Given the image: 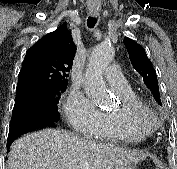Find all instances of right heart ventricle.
<instances>
[{"instance_id":"1","label":"right heart ventricle","mask_w":177,"mask_h":169,"mask_svg":"<svg viewBox=\"0 0 177 169\" xmlns=\"http://www.w3.org/2000/svg\"><path fill=\"white\" fill-rule=\"evenodd\" d=\"M115 93L122 102H134L139 100L136 93L130 87L124 91H115ZM149 135L150 133H142L137 130H129L122 118L117 113H115V111H106L101 112L98 132L94 137L97 139L109 141L138 142Z\"/></svg>"}]
</instances>
